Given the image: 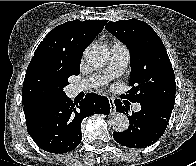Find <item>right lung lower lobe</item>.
I'll use <instances>...</instances> for the list:
<instances>
[{
	"mask_svg": "<svg viewBox=\"0 0 196 166\" xmlns=\"http://www.w3.org/2000/svg\"><path fill=\"white\" fill-rule=\"evenodd\" d=\"M23 110L27 131L35 143L47 152L66 153L82 140V120L92 114L108 115L110 104L106 97L90 93L79 102L65 95L26 104Z\"/></svg>",
	"mask_w": 196,
	"mask_h": 166,
	"instance_id": "right-lung-lower-lobe-1",
	"label": "right lung lower lobe"
}]
</instances>
